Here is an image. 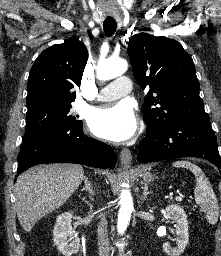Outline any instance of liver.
<instances>
[{
	"label": "liver",
	"instance_id": "liver-1",
	"mask_svg": "<svg viewBox=\"0 0 221 256\" xmlns=\"http://www.w3.org/2000/svg\"><path fill=\"white\" fill-rule=\"evenodd\" d=\"M84 170L76 164L38 165L16 181V213L20 225L30 232L47 214L62 206L79 187Z\"/></svg>",
	"mask_w": 221,
	"mask_h": 256
}]
</instances>
